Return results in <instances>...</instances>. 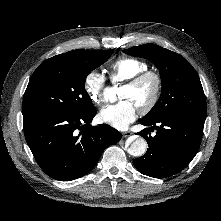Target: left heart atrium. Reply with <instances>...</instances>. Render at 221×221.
I'll return each mask as SVG.
<instances>
[{"label": "left heart atrium", "mask_w": 221, "mask_h": 221, "mask_svg": "<svg viewBox=\"0 0 221 221\" xmlns=\"http://www.w3.org/2000/svg\"><path fill=\"white\" fill-rule=\"evenodd\" d=\"M137 108L138 107L133 101L123 99L103 107L98 116L103 123L116 129L123 130L136 119Z\"/></svg>", "instance_id": "1"}]
</instances>
